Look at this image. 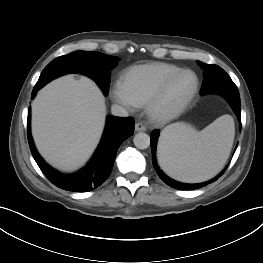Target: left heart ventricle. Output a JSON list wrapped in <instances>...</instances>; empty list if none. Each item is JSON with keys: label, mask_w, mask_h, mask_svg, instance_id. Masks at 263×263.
Returning <instances> with one entry per match:
<instances>
[{"label": "left heart ventricle", "mask_w": 263, "mask_h": 263, "mask_svg": "<svg viewBox=\"0 0 263 263\" xmlns=\"http://www.w3.org/2000/svg\"><path fill=\"white\" fill-rule=\"evenodd\" d=\"M195 77L191 73H185L178 77L169 87L162 103L163 109H168L184 100L192 91Z\"/></svg>", "instance_id": "obj_1"}]
</instances>
